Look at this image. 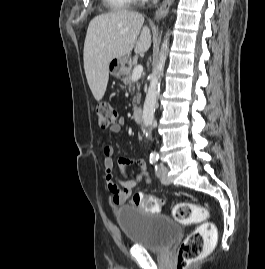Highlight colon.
Masks as SVG:
<instances>
[{"label":"colon","mask_w":265,"mask_h":269,"mask_svg":"<svg viewBox=\"0 0 265 269\" xmlns=\"http://www.w3.org/2000/svg\"><path fill=\"white\" fill-rule=\"evenodd\" d=\"M98 123L101 128H109L118 123L116 110L107 102H100L96 108ZM132 203L147 212H158L161 201L155 196L140 192L132 196ZM174 219L182 224L200 223L181 243L178 250L177 269H187L205 252L207 246L216 239V227L206 221L208 211L202 206L190 202H179L173 208Z\"/></svg>","instance_id":"obj_1"}]
</instances>
